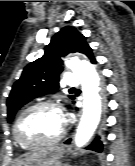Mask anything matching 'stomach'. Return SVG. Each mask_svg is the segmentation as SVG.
Wrapping results in <instances>:
<instances>
[{"mask_svg":"<svg viewBox=\"0 0 135 166\" xmlns=\"http://www.w3.org/2000/svg\"><path fill=\"white\" fill-rule=\"evenodd\" d=\"M64 154L65 150L62 147H46L31 154L28 157L29 163L26 166H63L60 160Z\"/></svg>","mask_w":135,"mask_h":166,"instance_id":"stomach-1","label":"stomach"}]
</instances>
